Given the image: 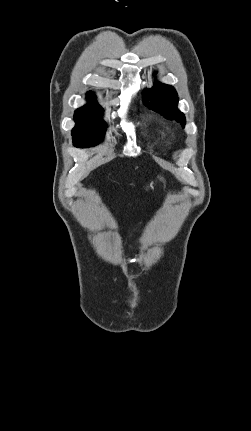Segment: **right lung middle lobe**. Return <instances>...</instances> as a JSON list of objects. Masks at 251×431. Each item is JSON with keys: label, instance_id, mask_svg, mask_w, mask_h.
I'll return each mask as SVG.
<instances>
[{"label": "right lung middle lobe", "instance_id": "1", "mask_svg": "<svg viewBox=\"0 0 251 431\" xmlns=\"http://www.w3.org/2000/svg\"><path fill=\"white\" fill-rule=\"evenodd\" d=\"M89 104L75 111V127L72 129L73 144L85 148L96 145L104 137L106 124L101 119L103 110L96 105L93 95H87Z\"/></svg>", "mask_w": 251, "mask_h": 431}]
</instances>
